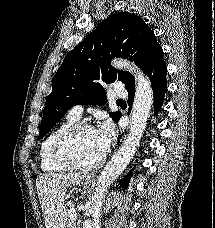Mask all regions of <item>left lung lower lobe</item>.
<instances>
[{
    "instance_id": "left-lung-lower-lobe-1",
    "label": "left lung lower lobe",
    "mask_w": 215,
    "mask_h": 228,
    "mask_svg": "<svg viewBox=\"0 0 215 228\" xmlns=\"http://www.w3.org/2000/svg\"><path fill=\"white\" fill-rule=\"evenodd\" d=\"M145 74L150 78L151 85L153 88L154 108H155L154 114L156 115L163 104L164 95L167 90V84H166L167 67L163 60L162 49L157 53L156 57L149 65ZM128 93H129L128 103L129 105H131L134 99L135 85H133L128 89ZM121 115L122 114H120L119 118L121 117ZM128 183H129V175L124 177V179H122L119 184L123 188L127 189Z\"/></svg>"
}]
</instances>
